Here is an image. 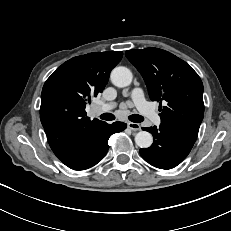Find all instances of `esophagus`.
Returning <instances> with one entry per match:
<instances>
[{
    "instance_id": "obj_1",
    "label": "esophagus",
    "mask_w": 231,
    "mask_h": 231,
    "mask_svg": "<svg viewBox=\"0 0 231 231\" xmlns=\"http://www.w3.org/2000/svg\"><path fill=\"white\" fill-rule=\"evenodd\" d=\"M128 128L132 131H138L141 129L140 125L138 123H133V122H129L127 124Z\"/></svg>"
}]
</instances>
